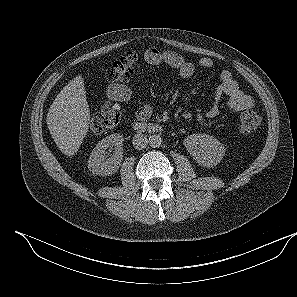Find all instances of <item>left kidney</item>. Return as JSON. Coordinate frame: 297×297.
I'll list each match as a JSON object with an SVG mask.
<instances>
[{"label":"left kidney","mask_w":297,"mask_h":297,"mask_svg":"<svg viewBox=\"0 0 297 297\" xmlns=\"http://www.w3.org/2000/svg\"><path fill=\"white\" fill-rule=\"evenodd\" d=\"M184 145L201 166H215L222 160L226 149L219 140L208 134H193L185 138Z\"/></svg>","instance_id":"5707ae66"}]
</instances>
